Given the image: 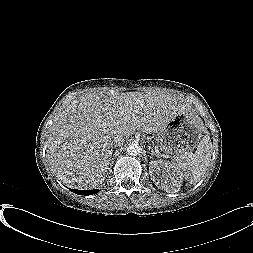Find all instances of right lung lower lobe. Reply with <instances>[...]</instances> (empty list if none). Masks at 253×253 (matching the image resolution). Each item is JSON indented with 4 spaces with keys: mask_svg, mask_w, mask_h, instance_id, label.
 Returning <instances> with one entry per match:
<instances>
[{
    "mask_svg": "<svg viewBox=\"0 0 253 253\" xmlns=\"http://www.w3.org/2000/svg\"><path fill=\"white\" fill-rule=\"evenodd\" d=\"M74 193L79 194V195H92L96 194L98 192V189H93V190H73Z\"/></svg>",
    "mask_w": 253,
    "mask_h": 253,
    "instance_id": "98d812e1",
    "label": "right lung lower lobe"
}]
</instances>
